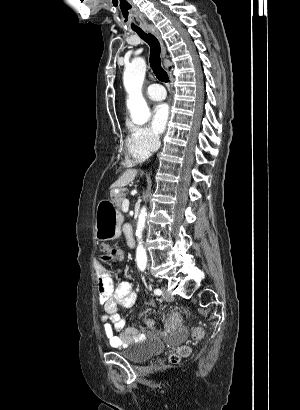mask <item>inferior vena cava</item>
Wrapping results in <instances>:
<instances>
[{
  "label": "inferior vena cava",
  "instance_id": "1",
  "mask_svg": "<svg viewBox=\"0 0 300 410\" xmlns=\"http://www.w3.org/2000/svg\"><path fill=\"white\" fill-rule=\"evenodd\" d=\"M160 146V141H159V137L156 136L154 138V149H157Z\"/></svg>",
  "mask_w": 300,
  "mask_h": 410
}]
</instances>
